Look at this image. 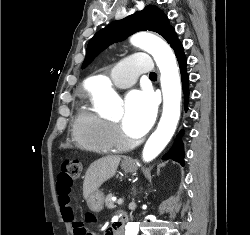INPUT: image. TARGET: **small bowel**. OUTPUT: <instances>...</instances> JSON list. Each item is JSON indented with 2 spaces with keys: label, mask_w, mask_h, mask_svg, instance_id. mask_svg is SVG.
I'll use <instances>...</instances> for the list:
<instances>
[{
  "label": "small bowel",
  "mask_w": 250,
  "mask_h": 235,
  "mask_svg": "<svg viewBox=\"0 0 250 235\" xmlns=\"http://www.w3.org/2000/svg\"><path fill=\"white\" fill-rule=\"evenodd\" d=\"M57 194H58V204L60 207V213L62 218L66 222L73 221V212L71 208V199H70V192H64L57 187Z\"/></svg>",
  "instance_id": "c3829d8e"
}]
</instances>
